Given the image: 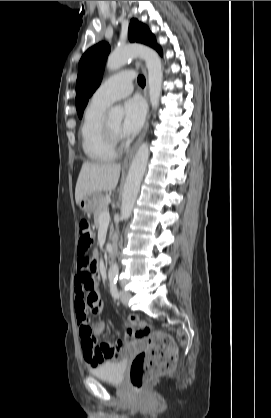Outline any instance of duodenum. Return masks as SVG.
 Wrapping results in <instances>:
<instances>
[{
  "label": "duodenum",
  "instance_id": "duodenum-1",
  "mask_svg": "<svg viewBox=\"0 0 271 418\" xmlns=\"http://www.w3.org/2000/svg\"><path fill=\"white\" fill-rule=\"evenodd\" d=\"M117 249V239L114 237L108 247V259L109 261L113 260Z\"/></svg>",
  "mask_w": 271,
  "mask_h": 418
}]
</instances>
